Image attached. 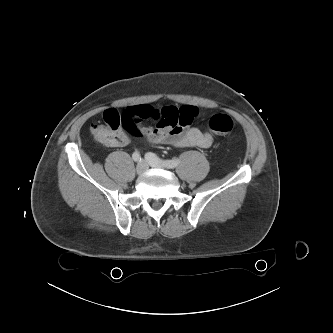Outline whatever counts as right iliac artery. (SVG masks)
I'll list each match as a JSON object with an SVG mask.
<instances>
[{"label": "right iliac artery", "instance_id": "right-iliac-artery-1", "mask_svg": "<svg viewBox=\"0 0 333 333\" xmlns=\"http://www.w3.org/2000/svg\"><path fill=\"white\" fill-rule=\"evenodd\" d=\"M132 158L134 161L138 162V161H141V156L139 154V152L135 151L133 154H132Z\"/></svg>", "mask_w": 333, "mask_h": 333}]
</instances>
